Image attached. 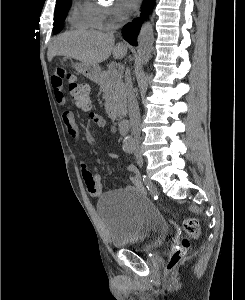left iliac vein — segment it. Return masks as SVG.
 <instances>
[{
    "label": "left iliac vein",
    "instance_id": "4c4485c4",
    "mask_svg": "<svg viewBox=\"0 0 245 300\" xmlns=\"http://www.w3.org/2000/svg\"><path fill=\"white\" fill-rule=\"evenodd\" d=\"M136 161H137L138 166H140V167L143 166L144 160H143V157L140 153L137 154Z\"/></svg>",
    "mask_w": 245,
    "mask_h": 300
}]
</instances>
